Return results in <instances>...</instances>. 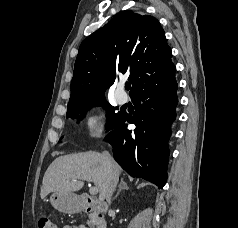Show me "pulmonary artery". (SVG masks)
Returning <instances> with one entry per match:
<instances>
[{"mask_svg":"<svg viewBox=\"0 0 238 228\" xmlns=\"http://www.w3.org/2000/svg\"><path fill=\"white\" fill-rule=\"evenodd\" d=\"M115 98L119 104H125L127 102L128 97L125 93H123V85H119L115 92Z\"/></svg>","mask_w":238,"mask_h":228,"instance_id":"e3ab8cb5","label":"pulmonary artery"}]
</instances>
